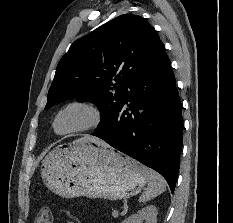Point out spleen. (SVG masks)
Masks as SVG:
<instances>
[{
    "label": "spleen",
    "mask_w": 233,
    "mask_h": 223,
    "mask_svg": "<svg viewBox=\"0 0 233 223\" xmlns=\"http://www.w3.org/2000/svg\"><path fill=\"white\" fill-rule=\"evenodd\" d=\"M147 181L148 187L143 191L142 195L139 197V201H150L153 197H157L159 193H163L166 189V181L162 175H159L157 171L153 169H148L147 167Z\"/></svg>",
    "instance_id": "obj_1"
}]
</instances>
